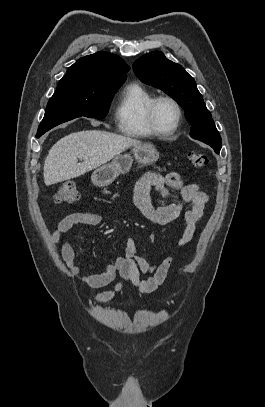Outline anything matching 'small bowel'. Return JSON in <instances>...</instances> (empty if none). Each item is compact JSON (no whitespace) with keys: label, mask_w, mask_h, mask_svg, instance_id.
I'll return each instance as SVG.
<instances>
[{"label":"small bowel","mask_w":265,"mask_h":407,"mask_svg":"<svg viewBox=\"0 0 265 407\" xmlns=\"http://www.w3.org/2000/svg\"><path fill=\"white\" fill-rule=\"evenodd\" d=\"M155 189L162 196H169L170 189L178 190L181 199L177 202L155 207L151 199V190ZM208 196L199 189L195 183L185 184L181 175L170 172L163 176L156 172L144 174L136 183L134 190V203L141 214L149 221L156 224H167L184 215L185 228L179 238L178 246H185L194 237L196 226L203 216ZM101 223V216L80 211L65 216L53 232L52 243L60 246V254L70 274L79 278L88 288L102 289L114 282L117 274L119 281L113 289L102 290L94 295L98 302H109L122 290L123 283L128 282L135 286L141 293H152L161 286L167 278L172 265L173 257L166 256L157 264L149 263L139 251L135 240L129 237L125 244V253L112 259L106 266L98 268L91 264L81 262L76 264L77 255L72 245L67 240V233L76 224L97 227ZM81 267L89 273L81 274ZM141 274L147 275L142 279Z\"/></svg>","instance_id":"small-bowel-1"}]
</instances>
